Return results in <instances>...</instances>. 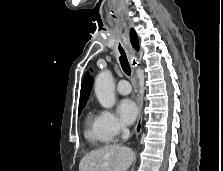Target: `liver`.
<instances>
[{
	"label": "liver",
	"mask_w": 223,
	"mask_h": 171,
	"mask_svg": "<svg viewBox=\"0 0 223 171\" xmlns=\"http://www.w3.org/2000/svg\"><path fill=\"white\" fill-rule=\"evenodd\" d=\"M134 159L131 148L105 145L86 154L80 161L79 171H127Z\"/></svg>",
	"instance_id": "obj_1"
}]
</instances>
